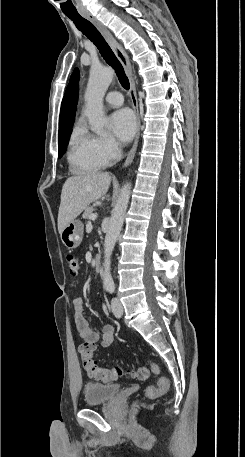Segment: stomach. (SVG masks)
<instances>
[{
    "instance_id": "stomach-1",
    "label": "stomach",
    "mask_w": 245,
    "mask_h": 457,
    "mask_svg": "<svg viewBox=\"0 0 245 457\" xmlns=\"http://www.w3.org/2000/svg\"><path fill=\"white\" fill-rule=\"evenodd\" d=\"M84 224L81 220H72L69 222L62 233H60L61 241L69 251L77 249L83 239Z\"/></svg>"
}]
</instances>
